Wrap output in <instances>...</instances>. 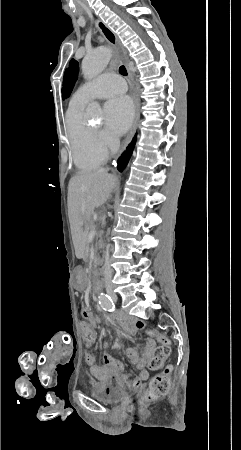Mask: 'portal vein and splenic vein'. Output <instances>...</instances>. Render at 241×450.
Masks as SVG:
<instances>
[{"label": "portal vein and splenic vein", "instance_id": "18ae733b", "mask_svg": "<svg viewBox=\"0 0 241 450\" xmlns=\"http://www.w3.org/2000/svg\"><path fill=\"white\" fill-rule=\"evenodd\" d=\"M88 226H89V224H88ZM94 236H96L95 230H93V232H90V234L88 236L89 240H93Z\"/></svg>", "mask_w": 241, "mask_h": 450}]
</instances>
